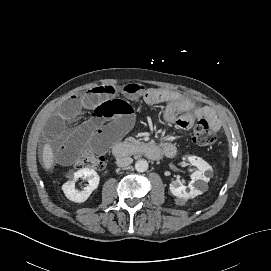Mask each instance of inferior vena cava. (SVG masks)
Listing matches in <instances>:
<instances>
[{
	"instance_id": "1",
	"label": "inferior vena cava",
	"mask_w": 271,
	"mask_h": 271,
	"mask_svg": "<svg viewBox=\"0 0 271 271\" xmlns=\"http://www.w3.org/2000/svg\"><path fill=\"white\" fill-rule=\"evenodd\" d=\"M133 162V159L131 157H122L117 159L116 164L119 167H126L130 165Z\"/></svg>"
}]
</instances>
